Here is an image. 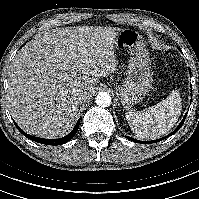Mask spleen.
Wrapping results in <instances>:
<instances>
[{
  "label": "spleen",
  "mask_w": 199,
  "mask_h": 199,
  "mask_svg": "<svg viewBox=\"0 0 199 199\" xmlns=\"http://www.w3.org/2000/svg\"><path fill=\"white\" fill-rule=\"evenodd\" d=\"M181 113V100L172 91L157 105L137 112H126L125 117L133 133L141 139H156L166 134L177 122Z\"/></svg>",
  "instance_id": "spleen-1"
}]
</instances>
